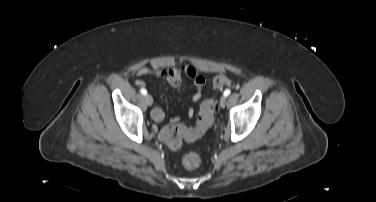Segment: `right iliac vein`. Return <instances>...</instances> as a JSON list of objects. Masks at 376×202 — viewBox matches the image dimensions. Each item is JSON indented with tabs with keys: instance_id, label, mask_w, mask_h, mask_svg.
Wrapping results in <instances>:
<instances>
[{
	"instance_id": "1",
	"label": "right iliac vein",
	"mask_w": 376,
	"mask_h": 202,
	"mask_svg": "<svg viewBox=\"0 0 376 202\" xmlns=\"http://www.w3.org/2000/svg\"><path fill=\"white\" fill-rule=\"evenodd\" d=\"M145 101H146V103L148 104V106H151L152 103H153V98H152V96L149 95V94H146V95H145Z\"/></svg>"
}]
</instances>
